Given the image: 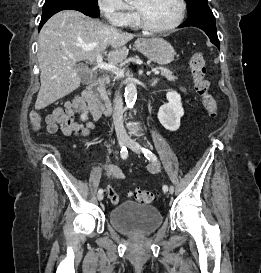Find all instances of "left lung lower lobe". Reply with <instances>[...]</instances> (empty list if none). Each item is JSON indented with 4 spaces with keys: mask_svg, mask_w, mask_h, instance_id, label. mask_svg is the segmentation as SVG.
Here are the masks:
<instances>
[{
    "mask_svg": "<svg viewBox=\"0 0 261 273\" xmlns=\"http://www.w3.org/2000/svg\"><path fill=\"white\" fill-rule=\"evenodd\" d=\"M188 26L202 29L208 35L210 41L219 48L215 17L208 5L193 10L187 20L179 27Z\"/></svg>",
    "mask_w": 261,
    "mask_h": 273,
    "instance_id": "1",
    "label": "left lung lower lobe"
}]
</instances>
